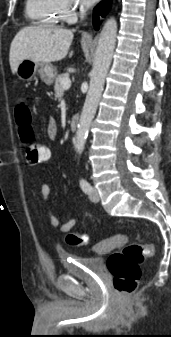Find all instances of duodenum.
<instances>
[{
  "label": "duodenum",
  "mask_w": 171,
  "mask_h": 337,
  "mask_svg": "<svg viewBox=\"0 0 171 337\" xmlns=\"http://www.w3.org/2000/svg\"><path fill=\"white\" fill-rule=\"evenodd\" d=\"M78 124H79V117H78V115H74L70 119V122H69V128H70V130H72V131L77 130Z\"/></svg>",
  "instance_id": "obj_1"
}]
</instances>
